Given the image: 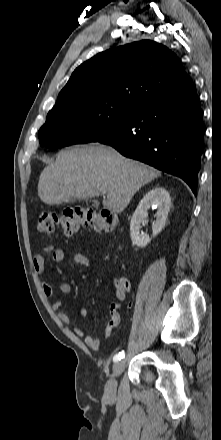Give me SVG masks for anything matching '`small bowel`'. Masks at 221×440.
Returning <instances> with one entry per match:
<instances>
[{
	"mask_svg": "<svg viewBox=\"0 0 221 440\" xmlns=\"http://www.w3.org/2000/svg\"><path fill=\"white\" fill-rule=\"evenodd\" d=\"M44 252L51 253L52 259L55 262H63L65 259V252L62 248H55L53 245H47L44 247ZM74 262L85 267L90 268L91 267V261L90 259L85 256L84 254L77 253L74 255ZM33 269L37 275L43 274L45 270V258L42 254L38 253L34 255L33 257ZM86 277V274L84 275ZM115 287V295L117 298V302H113L109 306V313H110V319L107 323V326L103 332V338H108L114 328H116L120 323V314L119 311L121 309V302L125 300L126 298V292L121 288V284L118 280H114L113 282ZM41 287L44 292V294L52 298L54 301L52 303V309L57 312V317L59 321L63 324H69L70 323V317L67 313L60 311L61 308V299L60 296L62 295H69L72 292V286L68 282H63L58 287V294L55 293L52 286L45 282H41ZM80 314L83 318L87 317V310L86 308L82 307L80 309ZM73 332L78 337H83L84 332L80 327H75L73 329ZM84 342L85 344L92 350H98L100 347L101 340L100 338L94 337L92 335H85L84 336Z\"/></svg>",
	"mask_w": 221,
	"mask_h": 440,
	"instance_id": "1",
	"label": "small bowel"
}]
</instances>
